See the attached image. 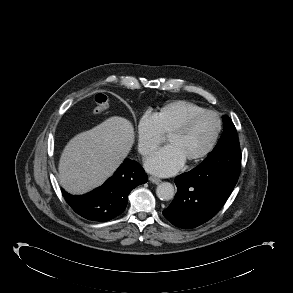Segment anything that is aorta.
<instances>
[{
	"label": "aorta",
	"instance_id": "aorta-1",
	"mask_svg": "<svg viewBox=\"0 0 293 293\" xmlns=\"http://www.w3.org/2000/svg\"><path fill=\"white\" fill-rule=\"evenodd\" d=\"M156 195L161 200L169 201L174 198V186L169 182H163L157 186Z\"/></svg>",
	"mask_w": 293,
	"mask_h": 293
}]
</instances>
